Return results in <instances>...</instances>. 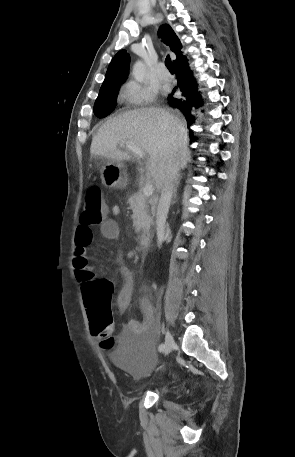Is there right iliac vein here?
I'll list each match as a JSON object with an SVG mask.
<instances>
[{"label": "right iliac vein", "mask_w": 295, "mask_h": 457, "mask_svg": "<svg viewBox=\"0 0 295 457\" xmlns=\"http://www.w3.org/2000/svg\"><path fill=\"white\" fill-rule=\"evenodd\" d=\"M174 344H175L174 338H173L171 332L167 330L166 337H165V345H164V350H163L165 355L169 354L172 351Z\"/></svg>", "instance_id": "63e3f726"}]
</instances>
